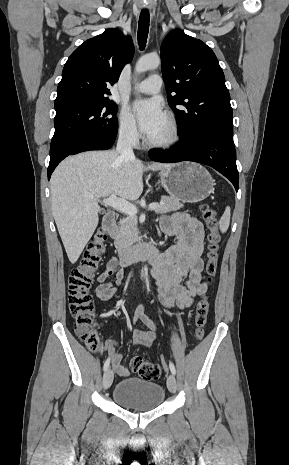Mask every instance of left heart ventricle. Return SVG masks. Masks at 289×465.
I'll list each match as a JSON object with an SVG mask.
<instances>
[{
  "mask_svg": "<svg viewBox=\"0 0 289 465\" xmlns=\"http://www.w3.org/2000/svg\"><path fill=\"white\" fill-rule=\"evenodd\" d=\"M166 135H167V123L165 121L162 127L159 129V131H157L155 134H153L152 136L148 138L151 140H161L165 138Z\"/></svg>",
  "mask_w": 289,
  "mask_h": 465,
  "instance_id": "left-heart-ventricle-1",
  "label": "left heart ventricle"
}]
</instances>
